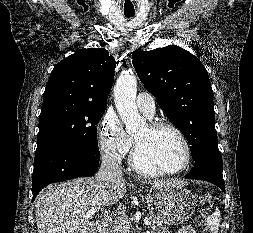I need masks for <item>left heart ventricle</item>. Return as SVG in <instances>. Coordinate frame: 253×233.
Masks as SVG:
<instances>
[{"instance_id":"1","label":"left heart ventricle","mask_w":253,"mask_h":233,"mask_svg":"<svg viewBox=\"0 0 253 233\" xmlns=\"http://www.w3.org/2000/svg\"><path fill=\"white\" fill-rule=\"evenodd\" d=\"M134 137L138 143L139 161L145 168L169 170L182 163L183 146L172 131H152L147 126Z\"/></svg>"}]
</instances>
